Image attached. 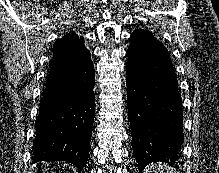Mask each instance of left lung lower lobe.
<instances>
[{
	"label": "left lung lower lobe",
	"mask_w": 219,
	"mask_h": 173,
	"mask_svg": "<svg viewBox=\"0 0 219 173\" xmlns=\"http://www.w3.org/2000/svg\"><path fill=\"white\" fill-rule=\"evenodd\" d=\"M127 103L133 155L141 170L152 162L174 164L184 141L181 94L164 45L135 31L127 51Z\"/></svg>",
	"instance_id": "left-lung-lower-lobe-1"
}]
</instances>
